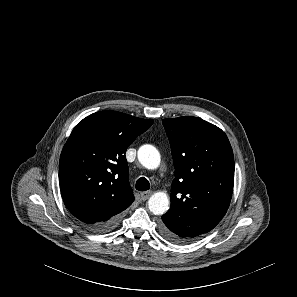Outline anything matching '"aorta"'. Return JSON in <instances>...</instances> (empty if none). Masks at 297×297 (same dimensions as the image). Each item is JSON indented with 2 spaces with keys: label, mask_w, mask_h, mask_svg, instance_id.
Returning a JSON list of instances; mask_svg holds the SVG:
<instances>
[{
  "label": "aorta",
  "mask_w": 297,
  "mask_h": 297,
  "mask_svg": "<svg viewBox=\"0 0 297 297\" xmlns=\"http://www.w3.org/2000/svg\"><path fill=\"white\" fill-rule=\"evenodd\" d=\"M138 160L147 169H156L160 165V153L152 145H143L138 150ZM169 199L166 193H154L148 200L149 210L155 215H163L167 212Z\"/></svg>",
  "instance_id": "obj_1"
}]
</instances>
